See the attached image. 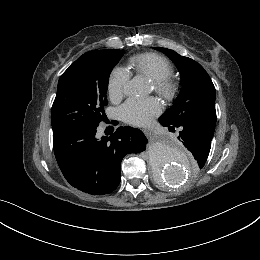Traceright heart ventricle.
<instances>
[{"label":"right heart ventricle","mask_w":260,"mask_h":260,"mask_svg":"<svg viewBox=\"0 0 260 260\" xmlns=\"http://www.w3.org/2000/svg\"><path fill=\"white\" fill-rule=\"evenodd\" d=\"M129 61L136 73L153 81L168 78L173 73V66L169 60L157 53L135 55Z\"/></svg>","instance_id":"e07e8e85"}]
</instances>
